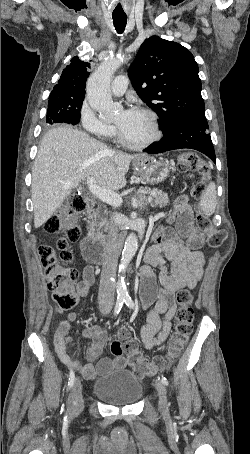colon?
<instances>
[{
  "instance_id": "colon-1",
  "label": "colon",
  "mask_w": 250,
  "mask_h": 454,
  "mask_svg": "<svg viewBox=\"0 0 250 454\" xmlns=\"http://www.w3.org/2000/svg\"><path fill=\"white\" fill-rule=\"evenodd\" d=\"M179 168L183 172L191 175L199 174L202 177L203 180L198 182L193 189L194 198L201 199L205 192L204 181L210 176L209 164L194 152H184L179 156ZM85 207L86 201L82 196L72 195L66 205L49 219L46 225L49 233L61 235L56 242L58 251L47 243L39 246L38 252L45 271L47 288L52 293L55 304L63 310H70L78 303L74 291V282L78 278V272L71 266L73 255L67 246L68 243L76 241L79 237V214ZM196 211L198 227L206 233L209 246H220L225 239V232L213 228L198 206H196ZM176 299L178 310L164 363L171 362L183 351L193 329L192 294L190 291L182 289L178 291ZM119 336L127 339L128 329L121 328ZM110 350L114 356L126 355L128 364L138 376H153L159 370L158 363L143 357L132 341L115 340L111 343Z\"/></svg>"
}]
</instances>
